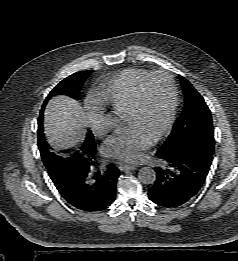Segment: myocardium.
<instances>
[{
    "label": "myocardium",
    "instance_id": "obj_1",
    "mask_svg": "<svg viewBox=\"0 0 238 261\" xmlns=\"http://www.w3.org/2000/svg\"><path fill=\"white\" fill-rule=\"evenodd\" d=\"M157 77H164L168 80L169 85H170V90H171V103H170V109L169 113L167 115V118L163 124V126L160 128V130L154 135L153 140L158 141L160 138H162L168 130L171 128L175 115L177 112V107H178V86L176 83V80L174 76L167 72V71H156L150 73L148 76H146L138 85L134 100L127 110L128 113H137L143 104V98H144V92L149 84V82Z\"/></svg>",
    "mask_w": 238,
    "mask_h": 261
}]
</instances>
